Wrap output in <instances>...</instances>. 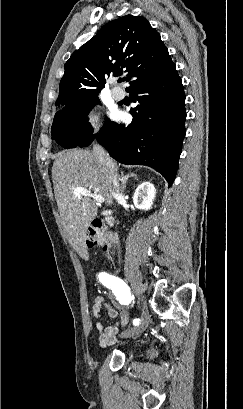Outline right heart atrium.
Instances as JSON below:
<instances>
[{
	"label": "right heart atrium",
	"mask_w": 243,
	"mask_h": 409,
	"mask_svg": "<svg viewBox=\"0 0 243 409\" xmlns=\"http://www.w3.org/2000/svg\"><path fill=\"white\" fill-rule=\"evenodd\" d=\"M83 120L89 126L92 132L97 133L100 130V117L95 109L87 110L83 115Z\"/></svg>",
	"instance_id": "1"
}]
</instances>
